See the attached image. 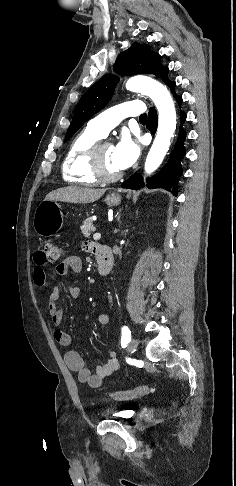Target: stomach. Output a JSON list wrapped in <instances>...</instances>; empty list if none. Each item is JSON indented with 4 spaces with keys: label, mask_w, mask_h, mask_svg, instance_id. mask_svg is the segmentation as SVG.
Returning <instances> with one entry per match:
<instances>
[{
    "label": "stomach",
    "mask_w": 236,
    "mask_h": 486,
    "mask_svg": "<svg viewBox=\"0 0 236 486\" xmlns=\"http://www.w3.org/2000/svg\"><path fill=\"white\" fill-rule=\"evenodd\" d=\"M105 202L108 206H117L121 202V197L112 193L107 195ZM63 222L61 205L54 200H44L35 210L33 228L39 236L48 237L57 233L62 228Z\"/></svg>",
    "instance_id": "0dacf381"
}]
</instances>
